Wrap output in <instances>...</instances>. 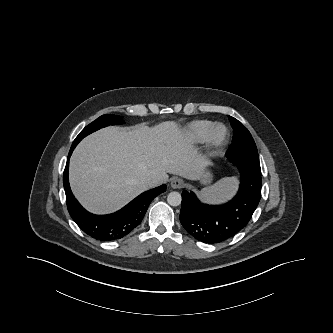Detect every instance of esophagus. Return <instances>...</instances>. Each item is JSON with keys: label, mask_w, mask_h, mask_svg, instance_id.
<instances>
[{"label": "esophagus", "mask_w": 333, "mask_h": 333, "mask_svg": "<svg viewBox=\"0 0 333 333\" xmlns=\"http://www.w3.org/2000/svg\"><path fill=\"white\" fill-rule=\"evenodd\" d=\"M170 185L173 189H180V188H183L185 186L184 181L180 178H174L171 181Z\"/></svg>", "instance_id": "1"}]
</instances>
